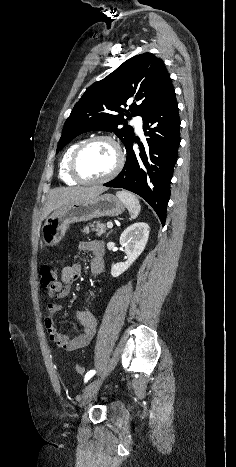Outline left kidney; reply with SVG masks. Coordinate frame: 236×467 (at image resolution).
<instances>
[{
	"mask_svg": "<svg viewBox=\"0 0 236 467\" xmlns=\"http://www.w3.org/2000/svg\"><path fill=\"white\" fill-rule=\"evenodd\" d=\"M149 237V226L145 222L134 223L129 226L120 236V244L127 255L125 262L116 263L111 268L113 277L120 276L125 272L139 255L143 252Z\"/></svg>",
	"mask_w": 236,
	"mask_h": 467,
	"instance_id": "obj_1",
	"label": "left kidney"
}]
</instances>
